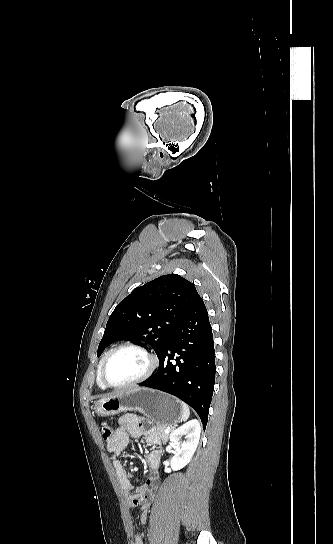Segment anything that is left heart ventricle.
Masks as SVG:
<instances>
[{
  "mask_svg": "<svg viewBox=\"0 0 333 544\" xmlns=\"http://www.w3.org/2000/svg\"><path fill=\"white\" fill-rule=\"evenodd\" d=\"M146 357L131 349H124L110 359L106 368V378L112 384H122L140 376L146 369Z\"/></svg>",
  "mask_w": 333,
  "mask_h": 544,
  "instance_id": "b2bd125f",
  "label": "left heart ventricle"
}]
</instances>
